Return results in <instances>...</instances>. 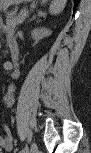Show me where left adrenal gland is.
<instances>
[{"instance_id": "obj_1", "label": "left adrenal gland", "mask_w": 91, "mask_h": 153, "mask_svg": "<svg viewBox=\"0 0 91 153\" xmlns=\"http://www.w3.org/2000/svg\"><path fill=\"white\" fill-rule=\"evenodd\" d=\"M37 16H38V17H42V16L45 17V14H44L42 11H38V12H37ZM35 17H36V16H34L32 19H35ZM32 19H30L29 21H31Z\"/></svg>"}]
</instances>
